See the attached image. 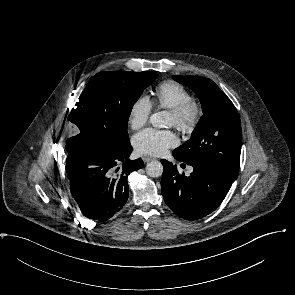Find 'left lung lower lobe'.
Masks as SVG:
<instances>
[{
	"label": "left lung lower lobe",
	"mask_w": 295,
	"mask_h": 295,
	"mask_svg": "<svg viewBox=\"0 0 295 295\" xmlns=\"http://www.w3.org/2000/svg\"><path fill=\"white\" fill-rule=\"evenodd\" d=\"M173 156L182 161L177 154ZM164 167L161 191L165 203L178 216L196 220L213 212L224 200L232 183L222 171L203 163L193 167L190 176L180 175L176 165L161 160Z\"/></svg>",
	"instance_id": "obj_1"
}]
</instances>
